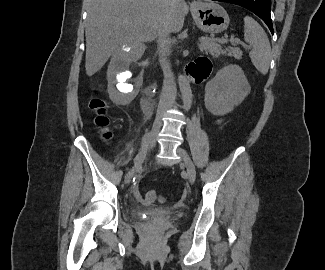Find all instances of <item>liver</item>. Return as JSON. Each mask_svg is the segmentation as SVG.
I'll return each instance as SVG.
<instances>
[{"label":"liver","mask_w":325,"mask_h":270,"mask_svg":"<svg viewBox=\"0 0 325 270\" xmlns=\"http://www.w3.org/2000/svg\"><path fill=\"white\" fill-rule=\"evenodd\" d=\"M187 11L184 0L169 6L164 0H88L86 74L98 72L122 45L131 46L140 56L143 44L158 37L163 21L169 33L181 31Z\"/></svg>","instance_id":"obj_1"}]
</instances>
